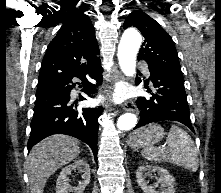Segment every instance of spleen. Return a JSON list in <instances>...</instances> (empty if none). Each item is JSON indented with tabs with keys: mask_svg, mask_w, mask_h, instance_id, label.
<instances>
[{
	"mask_svg": "<svg viewBox=\"0 0 221 193\" xmlns=\"http://www.w3.org/2000/svg\"><path fill=\"white\" fill-rule=\"evenodd\" d=\"M168 149L150 146L142 156L154 162H169L196 171L199 166L198 151L190 135L178 126H171L167 137Z\"/></svg>",
	"mask_w": 221,
	"mask_h": 193,
	"instance_id": "spleen-1",
	"label": "spleen"
}]
</instances>
